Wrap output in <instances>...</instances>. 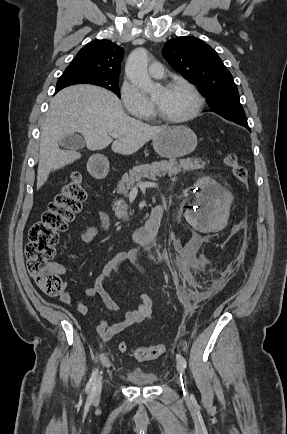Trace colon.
Listing matches in <instances>:
<instances>
[{"instance_id":"colon-1","label":"colon","mask_w":287,"mask_h":434,"mask_svg":"<svg viewBox=\"0 0 287 434\" xmlns=\"http://www.w3.org/2000/svg\"><path fill=\"white\" fill-rule=\"evenodd\" d=\"M224 162L240 183L247 182L248 170L238 162L235 153H227L224 156ZM86 197L87 188L81 174L73 172L69 181L50 202L41 220L35 222L29 229L25 248L28 272L39 288L49 297H59L64 291V283L50 266L59 242V235L67 229L68 223L81 210ZM118 348L122 353L128 351L125 342L119 343ZM164 351V346L159 344L136 348L132 351V355L140 362H147L160 357Z\"/></svg>"}]
</instances>
